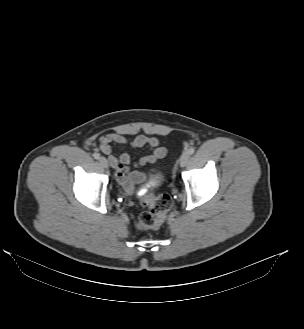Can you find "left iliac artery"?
I'll return each instance as SVG.
<instances>
[{"label": "left iliac artery", "mask_w": 304, "mask_h": 329, "mask_svg": "<svg viewBox=\"0 0 304 329\" xmlns=\"http://www.w3.org/2000/svg\"><path fill=\"white\" fill-rule=\"evenodd\" d=\"M195 152V148L191 147L189 150H188V153L190 155H192L193 153Z\"/></svg>", "instance_id": "1"}]
</instances>
